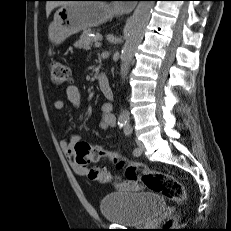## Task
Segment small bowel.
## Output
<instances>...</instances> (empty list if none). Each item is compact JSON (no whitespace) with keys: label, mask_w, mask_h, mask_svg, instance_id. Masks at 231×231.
Here are the masks:
<instances>
[{"label":"small bowel","mask_w":231,"mask_h":231,"mask_svg":"<svg viewBox=\"0 0 231 231\" xmlns=\"http://www.w3.org/2000/svg\"><path fill=\"white\" fill-rule=\"evenodd\" d=\"M66 95L70 103L76 107L81 104V95L79 89L75 85H70L66 88ZM55 110L59 113H65L66 104L63 100H56L54 103ZM100 126L103 129H110L116 126V117L112 113V105L106 102L102 105V119L100 121ZM80 140L78 134H73L68 140H62L60 146L62 152L70 160L72 168L79 175H86L88 173V168L79 165L74 160V146ZM120 187L128 191H139L142 189L141 184L132 181H123L120 183Z\"/></svg>","instance_id":"obj_1"}]
</instances>
